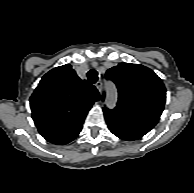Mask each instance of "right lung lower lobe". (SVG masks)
<instances>
[{
	"label": "right lung lower lobe",
	"mask_w": 194,
	"mask_h": 193,
	"mask_svg": "<svg viewBox=\"0 0 194 193\" xmlns=\"http://www.w3.org/2000/svg\"><path fill=\"white\" fill-rule=\"evenodd\" d=\"M81 129H82V126L80 128H78L74 133H72V134H70L68 136L59 138V139L52 140L50 142L53 143V144H57V145L67 144V143L71 142L73 139H75L78 136V134L80 133Z\"/></svg>",
	"instance_id": "obj_1"
}]
</instances>
